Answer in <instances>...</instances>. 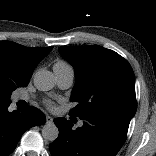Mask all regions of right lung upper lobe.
<instances>
[{
	"instance_id": "cb5924a9",
	"label": "right lung upper lobe",
	"mask_w": 156,
	"mask_h": 156,
	"mask_svg": "<svg viewBox=\"0 0 156 156\" xmlns=\"http://www.w3.org/2000/svg\"><path fill=\"white\" fill-rule=\"evenodd\" d=\"M52 48H28L11 41H0V86L28 85L35 67Z\"/></svg>"
}]
</instances>
